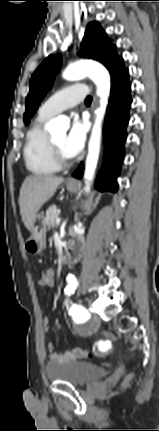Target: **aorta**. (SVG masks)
<instances>
[{
    "label": "aorta",
    "instance_id": "1",
    "mask_svg": "<svg viewBox=\"0 0 159 431\" xmlns=\"http://www.w3.org/2000/svg\"><path fill=\"white\" fill-rule=\"evenodd\" d=\"M86 76L90 77L96 84L97 95L100 97V107L95 112L96 120L89 141V151L86 158V167L84 173V178L87 184L86 191L89 192L90 182L93 179L98 162L101 139V122L103 120L107 106L111 83L110 75L107 69L101 64L93 61H80L78 63L69 65L63 72V78L69 81L79 80ZM66 128L67 124L62 118L54 119L48 124V130L51 132L66 130Z\"/></svg>",
    "mask_w": 159,
    "mask_h": 431
}]
</instances>
